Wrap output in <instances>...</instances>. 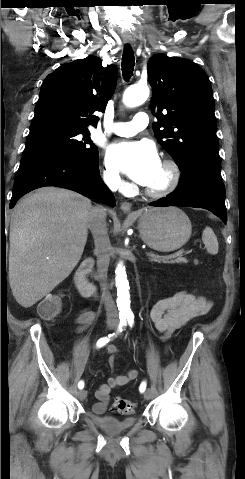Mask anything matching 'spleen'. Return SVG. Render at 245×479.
Segmentation results:
<instances>
[{
  "mask_svg": "<svg viewBox=\"0 0 245 479\" xmlns=\"http://www.w3.org/2000/svg\"><path fill=\"white\" fill-rule=\"evenodd\" d=\"M202 241L209 254L215 255L218 253V249H219L218 240L212 228L206 227L203 230Z\"/></svg>",
  "mask_w": 245,
  "mask_h": 479,
  "instance_id": "1",
  "label": "spleen"
}]
</instances>
